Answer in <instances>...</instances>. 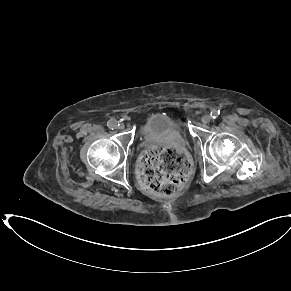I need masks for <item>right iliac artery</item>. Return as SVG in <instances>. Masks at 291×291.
<instances>
[{
  "label": "right iliac artery",
  "mask_w": 291,
  "mask_h": 291,
  "mask_svg": "<svg viewBox=\"0 0 291 291\" xmlns=\"http://www.w3.org/2000/svg\"><path fill=\"white\" fill-rule=\"evenodd\" d=\"M119 124H118V122L116 121V120H109L108 122H107V126L110 128V129H115V128H117V126H118Z\"/></svg>",
  "instance_id": "1"
}]
</instances>
